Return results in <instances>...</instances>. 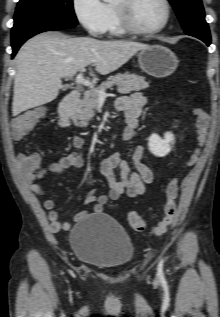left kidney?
<instances>
[{"instance_id": "left-kidney-1", "label": "left kidney", "mask_w": 220, "mask_h": 317, "mask_svg": "<svg viewBox=\"0 0 220 317\" xmlns=\"http://www.w3.org/2000/svg\"><path fill=\"white\" fill-rule=\"evenodd\" d=\"M174 143V137L171 133H166L164 139L153 134L149 138L148 146L151 153L157 157L166 156L171 150V144Z\"/></svg>"}]
</instances>
